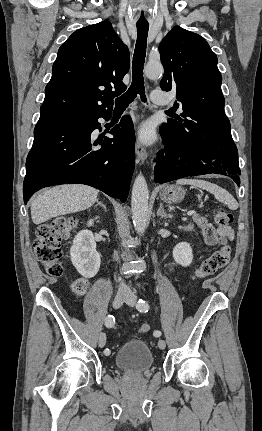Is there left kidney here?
<instances>
[{"label": "left kidney", "instance_id": "obj_1", "mask_svg": "<svg viewBox=\"0 0 262 431\" xmlns=\"http://www.w3.org/2000/svg\"><path fill=\"white\" fill-rule=\"evenodd\" d=\"M173 258L175 262L181 266H189L193 260V253L190 244L186 242L178 243L173 249Z\"/></svg>", "mask_w": 262, "mask_h": 431}]
</instances>
